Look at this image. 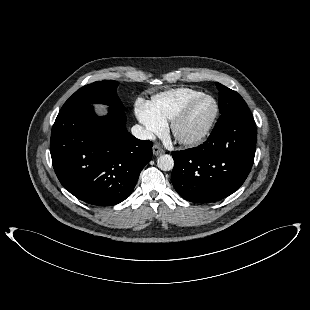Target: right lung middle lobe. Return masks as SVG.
<instances>
[{
  "label": "right lung middle lobe",
  "mask_w": 310,
  "mask_h": 310,
  "mask_svg": "<svg viewBox=\"0 0 310 310\" xmlns=\"http://www.w3.org/2000/svg\"><path fill=\"white\" fill-rule=\"evenodd\" d=\"M118 84L117 81L104 80L85 85L65 102L61 110L81 104L102 103L109 105L111 108L125 111V107L116 93Z\"/></svg>",
  "instance_id": "1"
}]
</instances>
